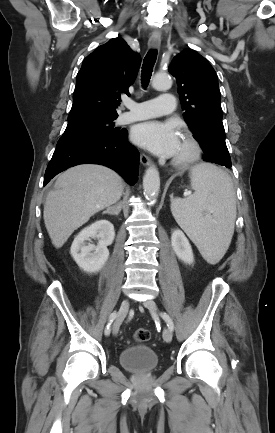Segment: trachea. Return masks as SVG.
<instances>
[{
    "mask_svg": "<svg viewBox=\"0 0 275 433\" xmlns=\"http://www.w3.org/2000/svg\"><path fill=\"white\" fill-rule=\"evenodd\" d=\"M156 58H157L156 50H150L144 58L143 65H142V74H141V82L144 88L148 86Z\"/></svg>",
    "mask_w": 275,
    "mask_h": 433,
    "instance_id": "3493384b",
    "label": "trachea"
}]
</instances>
